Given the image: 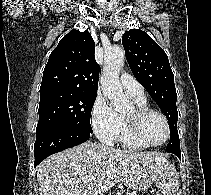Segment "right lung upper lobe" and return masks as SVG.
Listing matches in <instances>:
<instances>
[{
  "label": "right lung upper lobe",
  "instance_id": "1",
  "mask_svg": "<svg viewBox=\"0 0 211 195\" xmlns=\"http://www.w3.org/2000/svg\"><path fill=\"white\" fill-rule=\"evenodd\" d=\"M94 53L95 43L88 31H70L50 54L43 72L40 93L72 90L96 94L99 65Z\"/></svg>",
  "mask_w": 211,
  "mask_h": 195
}]
</instances>
